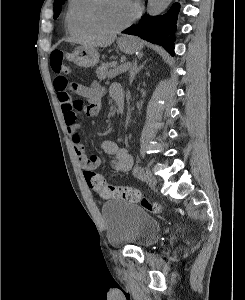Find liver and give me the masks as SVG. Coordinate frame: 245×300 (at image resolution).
<instances>
[{
	"mask_svg": "<svg viewBox=\"0 0 245 300\" xmlns=\"http://www.w3.org/2000/svg\"><path fill=\"white\" fill-rule=\"evenodd\" d=\"M72 41V40H70ZM115 41V37H97L91 36L80 40L83 47H108Z\"/></svg>",
	"mask_w": 245,
	"mask_h": 300,
	"instance_id": "liver-1",
	"label": "liver"
}]
</instances>
